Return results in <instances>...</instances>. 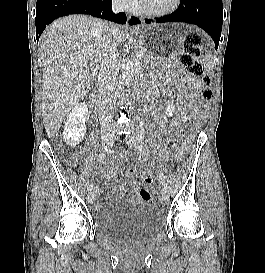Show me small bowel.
<instances>
[{"label": "small bowel", "mask_w": 265, "mask_h": 273, "mask_svg": "<svg viewBox=\"0 0 265 273\" xmlns=\"http://www.w3.org/2000/svg\"><path fill=\"white\" fill-rule=\"evenodd\" d=\"M178 125H179V123L176 122V121L170 122V123H169V127H170L171 129H175L176 127H178ZM108 166L111 167V164L109 163ZM98 171L101 172L102 170H101L100 168H98ZM130 184H131V186H132L133 188H135V186H136V182H135V181H132ZM95 207H96V209H99V208L101 207L100 203L97 202V203L95 204Z\"/></svg>", "instance_id": "obj_1"}]
</instances>
